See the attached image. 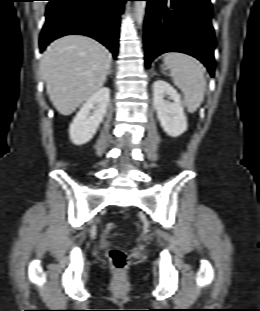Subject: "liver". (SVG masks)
I'll return each mask as SVG.
<instances>
[{"mask_svg":"<svg viewBox=\"0 0 260 311\" xmlns=\"http://www.w3.org/2000/svg\"><path fill=\"white\" fill-rule=\"evenodd\" d=\"M110 64L108 50L90 37L68 35L54 41L40 69L57 111L70 115L94 95L103 86Z\"/></svg>","mask_w":260,"mask_h":311,"instance_id":"6515ba94","label":"liver"}]
</instances>
